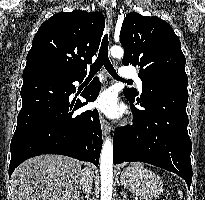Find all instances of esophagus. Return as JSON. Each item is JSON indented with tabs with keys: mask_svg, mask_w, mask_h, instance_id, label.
Listing matches in <instances>:
<instances>
[{
	"mask_svg": "<svg viewBox=\"0 0 205 200\" xmlns=\"http://www.w3.org/2000/svg\"><path fill=\"white\" fill-rule=\"evenodd\" d=\"M106 14L108 19V32L111 34L113 30V9L110 3L106 5ZM100 122L103 134L106 135L108 132H110V125L108 121L105 120L102 116L100 118Z\"/></svg>",
	"mask_w": 205,
	"mask_h": 200,
	"instance_id": "34e87169",
	"label": "esophagus"
}]
</instances>
